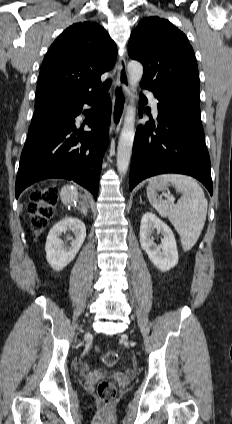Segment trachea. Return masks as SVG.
Listing matches in <instances>:
<instances>
[{
	"mask_svg": "<svg viewBox=\"0 0 232 424\" xmlns=\"http://www.w3.org/2000/svg\"><path fill=\"white\" fill-rule=\"evenodd\" d=\"M110 85H111V80H106L105 83L96 90L97 92H101V95L99 98H103L104 92L109 89Z\"/></svg>",
	"mask_w": 232,
	"mask_h": 424,
	"instance_id": "obj_1",
	"label": "trachea"
}]
</instances>
